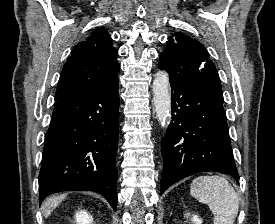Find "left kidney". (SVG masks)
Segmentation results:
<instances>
[{"label": "left kidney", "instance_id": "obj_1", "mask_svg": "<svg viewBox=\"0 0 275 224\" xmlns=\"http://www.w3.org/2000/svg\"><path fill=\"white\" fill-rule=\"evenodd\" d=\"M191 221L194 223V224H202V220L197 216V215H194L191 219Z\"/></svg>", "mask_w": 275, "mask_h": 224}]
</instances>
